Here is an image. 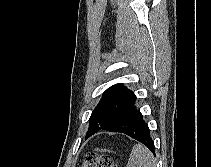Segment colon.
<instances>
[{"mask_svg":"<svg viewBox=\"0 0 211 167\" xmlns=\"http://www.w3.org/2000/svg\"><path fill=\"white\" fill-rule=\"evenodd\" d=\"M80 167H117L109 156L89 153L83 160Z\"/></svg>","mask_w":211,"mask_h":167,"instance_id":"5ec220e1","label":"colon"}]
</instances>
